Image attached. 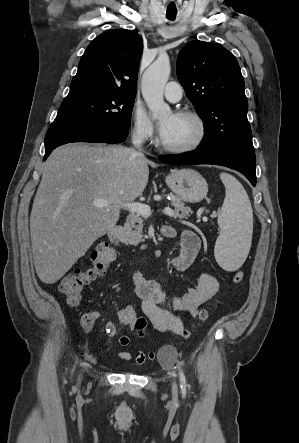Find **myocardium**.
Listing matches in <instances>:
<instances>
[{
	"label": "myocardium",
	"instance_id": "f54148a6",
	"mask_svg": "<svg viewBox=\"0 0 299 443\" xmlns=\"http://www.w3.org/2000/svg\"><path fill=\"white\" fill-rule=\"evenodd\" d=\"M176 116L188 118L194 121L197 127V135L195 139L187 145L171 146L165 144L162 138H160L157 143L159 149L172 154H187L196 151L203 145L207 136V128L204 120L198 113L189 110L179 111L176 113Z\"/></svg>",
	"mask_w": 299,
	"mask_h": 443
}]
</instances>
